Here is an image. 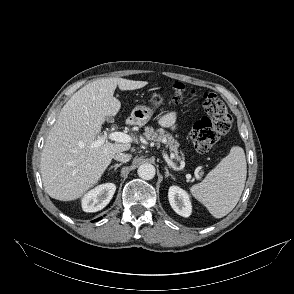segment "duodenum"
<instances>
[{
  "mask_svg": "<svg viewBox=\"0 0 294 294\" xmlns=\"http://www.w3.org/2000/svg\"><path fill=\"white\" fill-rule=\"evenodd\" d=\"M132 122H133L132 119H127L125 123H126L127 125H130V124H132Z\"/></svg>",
  "mask_w": 294,
  "mask_h": 294,
  "instance_id": "obj_1",
  "label": "duodenum"
}]
</instances>
